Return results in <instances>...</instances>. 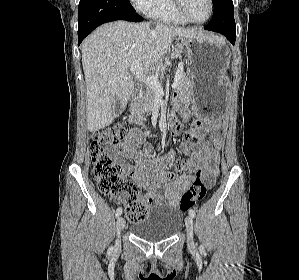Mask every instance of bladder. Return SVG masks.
<instances>
[{
	"mask_svg": "<svg viewBox=\"0 0 299 280\" xmlns=\"http://www.w3.org/2000/svg\"><path fill=\"white\" fill-rule=\"evenodd\" d=\"M183 223L182 213L173 208L154 209L144 219L131 226V232L139 239L158 242L175 236Z\"/></svg>",
	"mask_w": 299,
	"mask_h": 280,
	"instance_id": "31cf9c89",
	"label": "bladder"
}]
</instances>
